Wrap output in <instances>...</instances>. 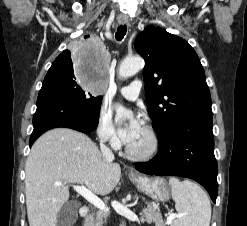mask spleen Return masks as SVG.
Wrapping results in <instances>:
<instances>
[{"mask_svg":"<svg viewBox=\"0 0 247 226\" xmlns=\"http://www.w3.org/2000/svg\"><path fill=\"white\" fill-rule=\"evenodd\" d=\"M172 198L179 217L172 226H209L211 204L207 194L197 184L177 178L169 179Z\"/></svg>","mask_w":247,"mask_h":226,"instance_id":"3e777b00","label":"spleen"}]
</instances>
